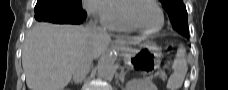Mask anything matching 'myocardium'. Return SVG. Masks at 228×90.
I'll list each match as a JSON object with an SVG mask.
<instances>
[{"label":"myocardium","mask_w":228,"mask_h":90,"mask_svg":"<svg viewBox=\"0 0 228 90\" xmlns=\"http://www.w3.org/2000/svg\"><path fill=\"white\" fill-rule=\"evenodd\" d=\"M140 1H149L152 4H154V6L158 9L159 13H160V17H161V23L159 25L158 28L154 29V30H149V29H145L141 26H139L129 15V11L132 8V6ZM121 18L124 21V23L126 25H128L129 27H131L134 30L140 31L142 33H147V34H152V33H157L159 31H161L165 25V15L164 12L162 10V8L160 7V5L158 4L157 1L155 0H127L121 7V12H120Z\"/></svg>","instance_id":"myocardium-1"}]
</instances>
